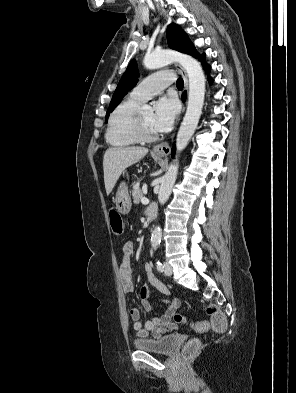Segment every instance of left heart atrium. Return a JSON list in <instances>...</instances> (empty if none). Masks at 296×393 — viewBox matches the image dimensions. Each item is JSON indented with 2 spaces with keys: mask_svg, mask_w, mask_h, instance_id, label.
<instances>
[{
  "mask_svg": "<svg viewBox=\"0 0 296 393\" xmlns=\"http://www.w3.org/2000/svg\"><path fill=\"white\" fill-rule=\"evenodd\" d=\"M179 110L178 102L173 96H163L155 103L152 128L155 132L166 131L172 125Z\"/></svg>",
  "mask_w": 296,
  "mask_h": 393,
  "instance_id": "obj_1",
  "label": "left heart atrium"
}]
</instances>
